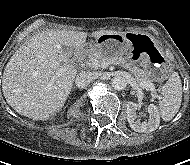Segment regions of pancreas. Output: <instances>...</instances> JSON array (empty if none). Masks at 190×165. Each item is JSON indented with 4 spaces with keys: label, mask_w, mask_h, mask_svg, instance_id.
Masks as SVG:
<instances>
[{
    "label": "pancreas",
    "mask_w": 190,
    "mask_h": 165,
    "mask_svg": "<svg viewBox=\"0 0 190 165\" xmlns=\"http://www.w3.org/2000/svg\"><path fill=\"white\" fill-rule=\"evenodd\" d=\"M90 62L89 67L97 70L102 68V64L104 62H109L110 64H122V66L125 69H128V71L133 74L135 81L137 84L141 87L142 84H151L147 74L140 69L137 66H134L130 63H125L124 61H121V58L118 57H105L102 54H100L97 51L91 50L90 51Z\"/></svg>",
    "instance_id": "pancreas-1"
}]
</instances>
